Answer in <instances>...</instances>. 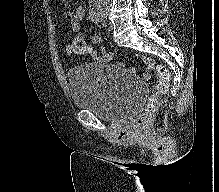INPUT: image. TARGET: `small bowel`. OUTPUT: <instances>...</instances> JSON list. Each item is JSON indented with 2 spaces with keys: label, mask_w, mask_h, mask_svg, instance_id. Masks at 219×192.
I'll return each mask as SVG.
<instances>
[{
  "label": "small bowel",
  "mask_w": 219,
  "mask_h": 192,
  "mask_svg": "<svg viewBox=\"0 0 219 192\" xmlns=\"http://www.w3.org/2000/svg\"><path fill=\"white\" fill-rule=\"evenodd\" d=\"M85 9L82 6H79L76 8L74 14L71 15L70 23L72 30L74 32V38H81L84 40L83 35L81 33V22L85 17ZM96 15V10H95V0H89V18L93 19L94 16ZM101 37L96 35L92 37V42L94 44H100L101 43ZM69 48V47H68ZM69 50V49H68ZM105 55L111 56V54L106 51L105 49L101 48L100 54H99V60L102 62H107L104 58ZM153 66V61L149 60L146 62V71L143 73L142 77L143 79L147 80L150 77V74L148 71L152 68ZM133 72H135V69H132Z\"/></svg>",
  "instance_id": "obj_1"
}]
</instances>
